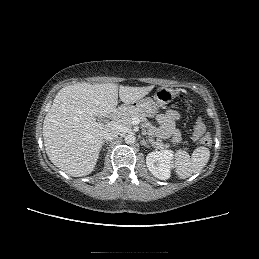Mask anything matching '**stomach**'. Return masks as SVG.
<instances>
[{"label":"stomach","mask_w":259,"mask_h":259,"mask_svg":"<svg viewBox=\"0 0 259 259\" xmlns=\"http://www.w3.org/2000/svg\"><path fill=\"white\" fill-rule=\"evenodd\" d=\"M178 93L177 89L159 87L154 93V99L147 97L128 105L127 108L139 109L148 116H154L161 106L175 99Z\"/></svg>","instance_id":"stomach-1"}]
</instances>
